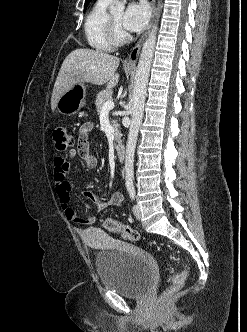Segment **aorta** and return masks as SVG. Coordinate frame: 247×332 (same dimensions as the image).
<instances>
[{"label": "aorta", "instance_id": "1", "mask_svg": "<svg viewBox=\"0 0 247 332\" xmlns=\"http://www.w3.org/2000/svg\"><path fill=\"white\" fill-rule=\"evenodd\" d=\"M125 9V4L121 1H116L109 8L112 14H122ZM161 5H158L157 21ZM157 21L153 25L151 32L145 40L138 62L136 75L134 79L133 89V105L131 109V124L126 144V158H125V184L127 189H133L134 178V154L138 137L140 125L142 123L144 114V105L147 92V84L150 73V68L153 60L154 49L157 35Z\"/></svg>", "mask_w": 247, "mask_h": 332}]
</instances>
